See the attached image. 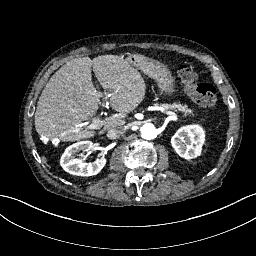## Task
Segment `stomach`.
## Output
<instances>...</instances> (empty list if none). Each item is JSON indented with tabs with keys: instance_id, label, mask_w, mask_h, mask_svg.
I'll return each instance as SVG.
<instances>
[{
	"instance_id": "stomach-1",
	"label": "stomach",
	"mask_w": 256,
	"mask_h": 256,
	"mask_svg": "<svg viewBox=\"0 0 256 256\" xmlns=\"http://www.w3.org/2000/svg\"><path fill=\"white\" fill-rule=\"evenodd\" d=\"M135 65L142 72L152 75L164 96L172 97L176 92L174 77L167 65L160 59L147 53H140L135 58Z\"/></svg>"
}]
</instances>
